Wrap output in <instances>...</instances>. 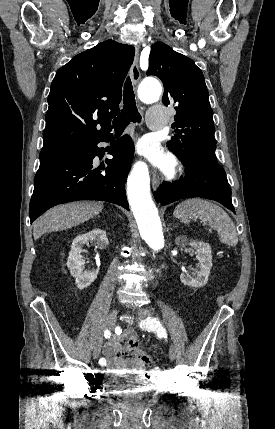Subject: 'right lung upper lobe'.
Segmentation results:
<instances>
[{
	"label": "right lung upper lobe",
	"mask_w": 275,
	"mask_h": 429,
	"mask_svg": "<svg viewBox=\"0 0 275 429\" xmlns=\"http://www.w3.org/2000/svg\"><path fill=\"white\" fill-rule=\"evenodd\" d=\"M134 54L133 46L107 40L57 71L48 96L40 160L110 134V121L120 112L121 88Z\"/></svg>",
	"instance_id": "obj_1"
}]
</instances>
